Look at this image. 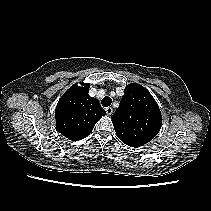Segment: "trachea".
I'll list each match as a JSON object with an SVG mask.
<instances>
[{"label":"trachea","mask_w":211,"mask_h":211,"mask_svg":"<svg viewBox=\"0 0 211 211\" xmlns=\"http://www.w3.org/2000/svg\"><path fill=\"white\" fill-rule=\"evenodd\" d=\"M101 103H102V106L108 107L111 105L112 99L109 96H106L102 99Z\"/></svg>","instance_id":"trachea-1"}]
</instances>
